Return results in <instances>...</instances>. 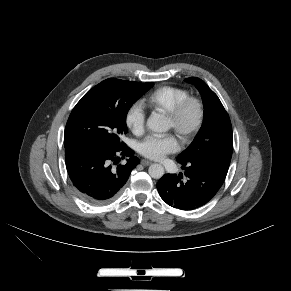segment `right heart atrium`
<instances>
[{
    "label": "right heart atrium",
    "mask_w": 291,
    "mask_h": 291,
    "mask_svg": "<svg viewBox=\"0 0 291 291\" xmlns=\"http://www.w3.org/2000/svg\"><path fill=\"white\" fill-rule=\"evenodd\" d=\"M126 126L134 133L141 134L145 129L146 114L140 103H133L125 114Z\"/></svg>",
    "instance_id": "d8ad5b80"
}]
</instances>
